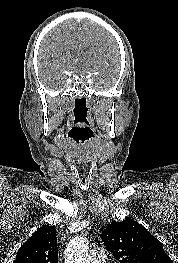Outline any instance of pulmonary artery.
I'll use <instances>...</instances> for the list:
<instances>
[{
  "mask_svg": "<svg viewBox=\"0 0 178 263\" xmlns=\"http://www.w3.org/2000/svg\"><path fill=\"white\" fill-rule=\"evenodd\" d=\"M89 263H107V256L100 248H93L89 252Z\"/></svg>",
  "mask_w": 178,
  "mask_h": 263,
  "instance_id": "obj_1",
  "label": "pulmonary artery"
}]
</instances>
